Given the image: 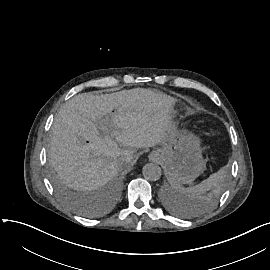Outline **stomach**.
Masks as SVG:
<instances>
[{
  "instance_id": "stomach-1",
  "label": "stomach",
  "mask_w": 270,
  "mask_h": 270,
  "mask_svg": "<svg viewBox=\"0 0 270 270\" xmlns=\"http://www.w3.org/2000/svg\"><path fill=\"white\" fill-rule=\"evenodd\" d=\"M149 160L164 166L171 183L191 184L206 169L201 140L187 129L169 132Z\"/></svg>"
}]
</instances>
